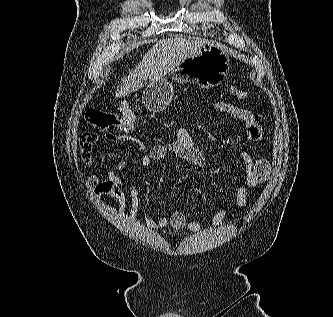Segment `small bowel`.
I'll list each match as a JSON object with an SVG mask.
<instances>
[{"mask_svg": "<svg viewBox=\"0 0 333 317\" xmlns=\"http://www.w3.org/2000/svg\"><path fill=\"white\" fill-rule=\"evenodd\" d=\"M213 107L222 113L228 114L245 128L246 134L252 141L259 142L263 138V130L257 122L254 114L242 107L228 102L218 101ZM104 139L111 142L129 141L136 144L143 150L144 144L135 136L129 134L106 133ZM99 138L94 133H84L78 138L77 145L80 148V157L83 163L91 166L93 163L92 150ZM176 155L182 160L190 162L194 166L204 165V155L197 148L190 132L184 128H178L173 140L165 143L153 145L140 160L143 167H151L156 161ZM238 156L244 166V181L239 183L235 192V205L238 209H243L247 205L248 193L260 184L265 183L271 172L270 163L266 159L254 160L245 150H239ZM130 160H124L117 164L107 175L101 179L98 175L92 174L87 179V187L91 193L100 198L108 196L118 203V212L124 214L129 211L132 218H136L139 208L138 194L134 187L121 177V173L129 166ZM226 212L219 208L212 217V224L220 227L225 219ZM147 224L150 229H163L171 227L175 230L189 229L192 232H201L202 226L186 217L179 209L174 210L170 215H164L158 220L148 219Z\"/></svg>", "mask_w": 333, "mask_h": 317, "instance_id": "c3829d8e", "label": "small bowel"}]
</instances>
